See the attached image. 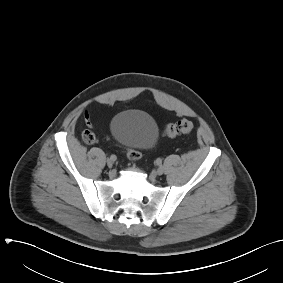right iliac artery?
I'll return each mask as SVG.
<instances>
[{
	"label": "right iliac artery",
	"mask_w": 283,
	"mask_h": 283,
	"mask_svg": "<svg viewBox=\"0 0 283 283\" xmlns=\"http://www.w3.org/2000/svg\"><path fill=\"white\" fill-rule=\"evenodd\" d=\"M110 159L114 162V161H116L117 157L115 155H111Z\"/></svg>",
	"instance_id": "obj_1"
}]
</instances>
